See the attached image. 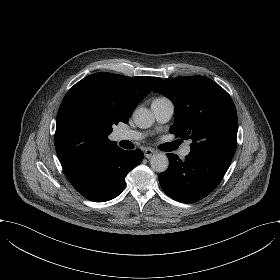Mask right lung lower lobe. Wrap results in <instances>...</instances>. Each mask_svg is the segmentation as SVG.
I'll return each instance as SVG.
<instances>
[{
  "instance_id": "1",
  "label": "right lung lower lobe",
  "mask_w": 280,
  "mask_h": 280,
  "mask_svg": "<svg viewBox=\"0 0 280 280\" xmlns=\"http://www.w3.org/2000/svg\"><path fill=\"white\" fill-rule=\"evenodd\" d=\"M139 149L114 148L97 153L84 161L67 178L86 199L105 202L117 197L125 187V177L143 160Z\"/></svg>"
}]
</instances>
